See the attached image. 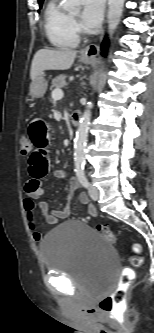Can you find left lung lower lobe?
I'll list each match as a JSON object with an SVG mask.
<instances>
[{
  "mask_svg": "<svg viewBox=\"0 0 154 333\" xmlns=\"http://www.w3.org/2000/svg\"><path fill=\"white\" fill-rule=\"evenodd\" d=\"M107 45H108V39H105L104 42L102 43V55H105Z\"/></svg>",
  "mask_w": 154,
  "mask_h": 333,
  "instance_id": "obj_1",
  "label": "left lung lower lobe"
}]
</instances>
